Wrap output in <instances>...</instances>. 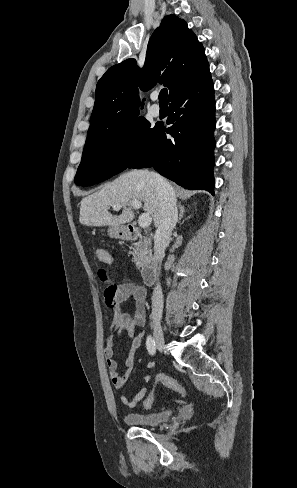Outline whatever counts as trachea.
<instances>
[{
  "label": "trachea",
  "instance_id": "3493384b",
  "mask_svg": "<svg viewBox=\"0 0 297 488\" xmlns=\"http://www.w3.org/2000/svg\"><path fill=\"white\" fill-rule=\"evenodd\" d=\"M168 91L166 88L162 89L159 94V103L160 104H168L167 101Z\"/></svg>",
  "mask_w": 297,
  "mask_h": 488
}]
</instances>
